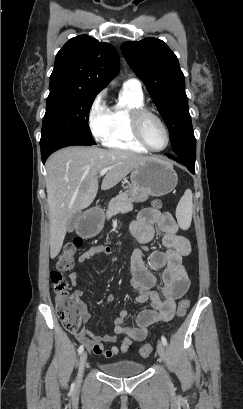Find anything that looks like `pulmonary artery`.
<instances>
[{
	"label": "pulmonary artery",
	"mask_w": 243,
	"mask_h": 409,
	"mask_svg": "<svg viewBox=\"0 0 243 409\" xmlns=\"http://www.w3.org/2000/svg\"><path fill=\"white\" fill-rule=\"evenodd\" d=\"M123 88L142 93L141 82L138 79L130 78L123 83Z\"/></svg>",
	"instance_id": "pulmonary-artery-1"
}]
</instances>
